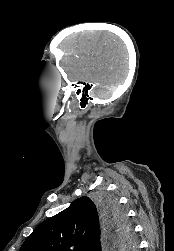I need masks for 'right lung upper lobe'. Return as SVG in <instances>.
Segmentation results:
<instances>
[{
  "label": "right lung upper lobe",
  "mask_w": 174,
  "mask_h": 251,
  "mask_svg": "<svg viewBox=\"0 0 174 251\" xmlns=\"http://www.w3.org/2000/svg\"><path fill=\"white\" fill-rule=\"evenodd\" d=\"M103 226L97 205L90 198L81 197L39 224L19 251H101Z\"/></svg>",
  "instance_id": "1"
}]
</instances>
